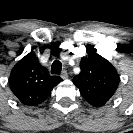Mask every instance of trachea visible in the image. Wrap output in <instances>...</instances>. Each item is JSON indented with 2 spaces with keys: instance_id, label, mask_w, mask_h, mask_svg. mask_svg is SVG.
Masks as SVG:
<instances>
[{
  "instance_id": "obj_1",
  "label": "trachea",
  "mask_w": 133,
  "mask_h": 133,
  "mask_svg": "<svg viewBox=\"0 0 133 133\" xmlns=\"http://www.w3.org/2000/svg\"><path fill=\"white\" fill-rule=\"evenodd\" d=\"M61 70H62V64L59 60H55L53 63H52V66H51V73L52 74H60L61 73Z\"/></svg>"
}]
</instances>
